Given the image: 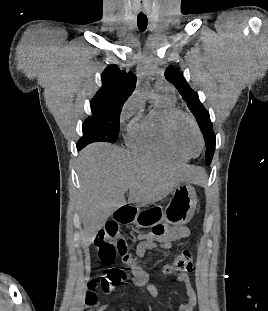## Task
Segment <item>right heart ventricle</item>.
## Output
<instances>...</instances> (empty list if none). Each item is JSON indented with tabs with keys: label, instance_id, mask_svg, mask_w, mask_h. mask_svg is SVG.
<instances>
[{
	"label": "right heart ventricle",
	"instance_id": "right-heart-ventricle-1",
	"mask_svg": "<svg viewBox=\"0 0 268 311\" xmlns=\"http://www.w3.org/2000/svg\"><path fill=\"white\" fill-rule=\"evenodd\" d=\"M176 109L175 99L170 95L158 94L157 104L147 113L140 111L128 127V145L145 154L161 156L178 162L188 158L176 152L165 134L167 114Z\"/></svg>",
	"mask_w": 268,
	"mask_h": 311
}]
</instances>
